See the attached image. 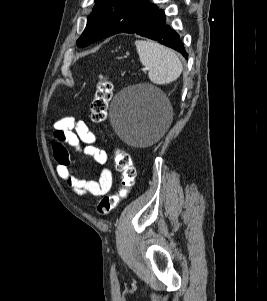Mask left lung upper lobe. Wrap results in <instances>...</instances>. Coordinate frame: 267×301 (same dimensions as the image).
Wrapping results in <instances>:
<instances>
[{
  "mask_svg": "<svg viewBox=\"0 0 267 301\" xmlns=\"http://www.w3.org/2000/svg\"><path fill=\"white\" fill-rule=\"evenodd\" d=\"M156 6L149 0H95L87 26L77 40L85 47L97 40L120 33L148 16Z\"/></svg>",
  "mask_w": 267,
  "mask_h": 301,
  "instance_id": "obj_1",
  "label": "left lung upper lobe"
}]
</instances>
